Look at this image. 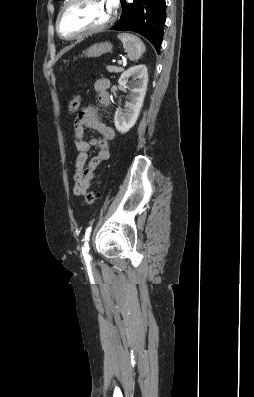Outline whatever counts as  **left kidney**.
<instances>
[{"label": "left kidney", "instance_id": "5707ae66", "mask_svg": "<svg viewBox=\"0 0 254 397\" xmlns=\"http://www.w3.org/2000/svg\"><path fill=\"white\" fill-rule=\"evenodd\" d=\"M129 77L133 78L129 102L125 104L124 110L117 109L114 116L115 127L120 133H127L138 119L147 90V67L145 65H137L129 68L119 78V85L125 86Z\"/></svg>", "mask_w": 254, "mask_h": 397}]
</instances>
